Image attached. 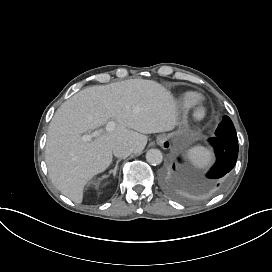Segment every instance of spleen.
I'll list each match as a JSON object with an SVG mask.
<instances>
[{"label":"spleen","mask_w":272,"mask_h":272,"mask_svg":"<svg viewBox=\"0 0 272 272\" xmlns=\"http://www.w3.org/2000/svg\"><path fill=\"white\" fill-rule=\"evenodd\" d=\"M190 162L197 168H205L213 162V156L209 149L198 145L188 152Z\"/></svg>","instance_id":"obj_1"}]
</instances>
